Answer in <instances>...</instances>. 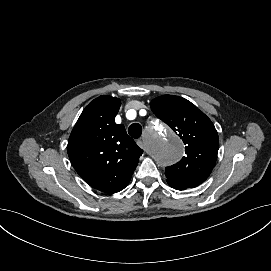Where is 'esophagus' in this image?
<instances>
[{"instance_id":"esophagus-1","label":"esophagus","mask_w":271,"mask_h":271,"mask_svg":"<svg viewBox=\"0 0 271 271\" xmlns=\"http://www.w3.org/2000/svg\"><path fill=\"white\" fill-rule=\"evenodd\" d=\"M145 136V135H144ZM137 144L139 145L140 149L143 150V151H147L150 155L153 154L152 151H148L151 149L152 147V142L150 139L148 138H142V137H139L137 139Z\"/></svg>"}]
</instances>
